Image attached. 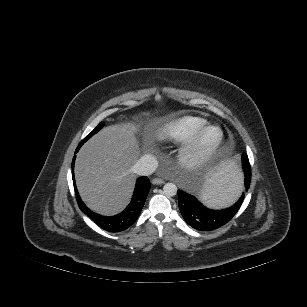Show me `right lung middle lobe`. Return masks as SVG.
<instances>
[{
    "label": "right lung middle lobe",
    "instance_id": "1",
    "mask_svg": "<svg viewBox=\"0 0 307 307\" xmlns=\"http://www.w3.org/2000/svg\"><path fill=\"white\" fill-rule=\"evenodd\" d=\"M103 126V123H99V125L90 133L88 134L81 142V144H83L84 142H86L91 136H93L94 134H96Z\"/></svg>",
    "mask_w": 307,
    "mask_h": 307
}]
</instances>
